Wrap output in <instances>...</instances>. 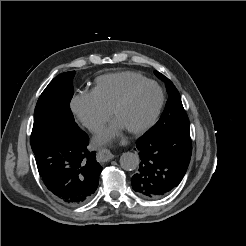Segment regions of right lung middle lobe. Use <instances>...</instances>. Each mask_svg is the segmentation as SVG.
<instances>
[{
  "instance_id": "right-lung-middle-lobe-1",
  "label": "right lung middle lobe",
  "mask_w": 246,
  "mask_h": 246,
  "mask_svg": "<svg viewBox=\"0 0 246 246\" xmlns=\"http://www.w3.org/2000/svg\"><path fill=\"white\" fill-rule=\"evenodd\" d=\"M75 71L56 76L39 97L31 133V147L56 130H70L75 120L69 103L73 97L72 80Z\"/></svg>"
}]
</instances>
